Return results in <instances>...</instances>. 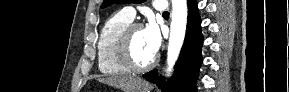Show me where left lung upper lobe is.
<instances>
[{"label": "left lung upper lobe", "instance_id": "5c2ea615", "mask_svg": "<svg viewBox=\"0 0 289 92\" xmlns=\"http://www.w3.org/2000/svg\"><path fill=\"white\" fill-rule=\"evenodd\" d=\"M143 1L145 0H104L103 4L101 5V8H105L114 3L128 4V3H142Z\"/></svg>", "mask_w": 289, "mask_h": 92}]
</instances>
